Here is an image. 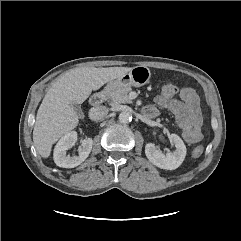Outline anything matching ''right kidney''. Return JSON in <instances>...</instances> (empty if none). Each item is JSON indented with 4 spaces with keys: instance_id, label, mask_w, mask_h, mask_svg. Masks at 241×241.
<instances>
[{
    "instance_id": "1",
    "label": "right kidney",
    "mask_w": 241,
    "mask_h": 241,
    "mask_svg": "<svg viewBox=\"0 0 241 241\" xmlns=\"http://www.w3.org/2000/svg\"><path fill=\"white\" fill-rule=\"evenodd\" d=\"M77 142V133L75 131L65 134L57 143L54 149V161L57 166L63 168H74L80 165L89 156L93 140L85 138L81 141L82 149L77 156L70 157L67 150L72 148Z\"/></svg>"
}]
</instances>
